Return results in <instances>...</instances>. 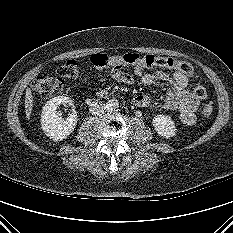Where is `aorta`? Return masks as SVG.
<instances>
[{
	"label": "aorta",
	"instance_id": "1",
	"mask_svg": "<svg viewBox=\"0 0 233 233\" xmlns=\"http://www.w3.org/2000/svg\"><path fill=\"white\" fill-rule=\"evenodd\" d=\"M118 107H119V103L116 99H110L107 102V108L111 111L118 109Z\"/></svg>",
	"mask_w": 233,
	"mask_h": 233
}]
</instances>
